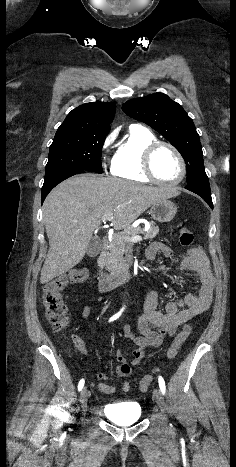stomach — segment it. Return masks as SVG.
<instances>
[{"label":"stomach","instance_id":"1","mask_svg":"<svg viewBox=\"0 0 236 467\" xmlns=\"http://www.w3.org/2000/svg\"><path fill=\"white\" fill-rule=\"evenodd\" d=\"M177 212L176 205L168 200H160L151 206L150 214L158 222H170Z\"/></svg>","mask_w":236,"mask_h":467}]
</instances>
